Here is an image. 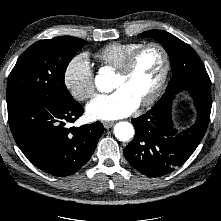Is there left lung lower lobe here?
<instances>
[{
	"label": "left lung lower lobe",
	"mask_w": 221,
	"mask_h": 221,
	"mask_svg": "<svg viewBox=\"0 0 221 221\" xmlns=\"http://www.w3.org/2000/svg\"><path fill=\"white\" fill-rule=\"evenodd\" d=\"M187 90L197 108L196 123L181 136L171 120V106L175 95ZM211 88L189 83L166 91L145 114L132 119L134 139L125 147L124 156L141 174L160 177L181 166L202 140L210 120Z\"/></svg>",
	"instance_id": "left-lung-lower-lobe-1"
}]
</instances>
